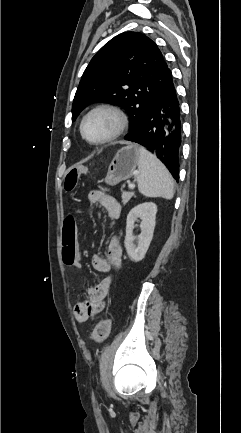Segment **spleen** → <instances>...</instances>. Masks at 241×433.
I'll return each mask as SVG.
<instances>
[{
	"label": "spleen",
	"instance_id": "1",
	"mask_svg": "<svg viewBox=\"0 0 241 433\" xmlns=\"http://www.w3.org/2000/svg\"><path fill=\"white\" fill-rule=\"evenodd\" d=\"M139 192L145 197H161L171 200L174 196V181L163 163L144 147L139 148Z\"/></svg>",
	"mask_w": 241,
	"mask_h": 433
}]
</instances>
